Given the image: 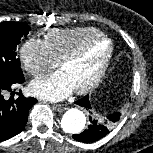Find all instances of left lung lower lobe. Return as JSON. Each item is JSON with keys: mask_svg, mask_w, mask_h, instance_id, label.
I'll use <instances>...</instances> for the list:
<instances>
[{"mask_svg": "<svg viewBox=\"0 0 153 153\" xmlns=\"http://www.w3.org/2000/svg\"><path fill=\"white\" fill-rule=\"evenodd\" d=\"M75 104L87 109H91L88 95L76 101ZM120 115V112L113 113L108 116V120L105 122L90 116V124L88 125V128L80 134L73 135V138L79 142L84 143L95 142L105 137L109 133V130L111 129L109 123L111 122L115 124L120 119Z\"/></svg>", "mask_w": 153, "mask_h": 153, "instance_id": "left-lung-lower-lobe-1", "label": "left lung lower lobe"}]
</instances>
